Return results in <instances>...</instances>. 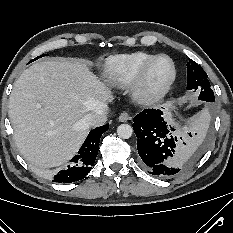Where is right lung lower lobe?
<instances>
[{"instance_id": "obj_1", "label": "right lung lower lobe", "mask_w": 233, "mask_h": 233, "mask_svg": "<svg viewBox=\"0 0 233 233\" xmlns=\"http://www.w3.org/2000/svg\"><path fill=\"white\" fill-rule=\"evenodd\" d=\"M108 129V124L93 129L88 134L78 154L71 159V164L55 175L53 182L68 183L84 178L90 172L96 160L100 137Z\"/></svg>"}]
</instances>
